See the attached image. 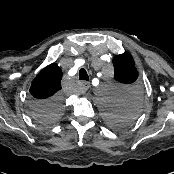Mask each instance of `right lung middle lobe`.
I'll return each mask as SVG.
<instances>
[{
  "label": "right lung middle lobe",
  "instance_id": "right-lung-middle-lobe-1",
  "mask_svg": "<svg viewBox=\"0 0 174 174\" xmlns=\"http://www.w3.org/2000/svg\"><path fill=\"white\" fill-rule=\"evenodd\" d=\"M63 108V99L55 96L49 100H33L30 114L39 123L51 124L60 118Z\"/></svg>",
  "mask_w": 174,
  "mask_h": 174
}]
</instances>
